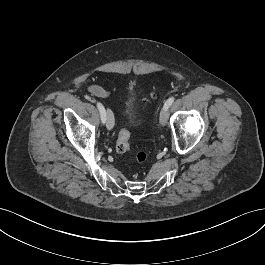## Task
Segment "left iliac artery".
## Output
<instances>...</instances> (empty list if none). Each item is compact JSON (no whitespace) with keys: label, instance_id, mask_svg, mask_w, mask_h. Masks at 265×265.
<instances>
[{"label":"left iliac artery","instance_id":"left-iliac-artery-1","mask_svg":"<svg viewBox=\"0 0 265 265\" xmlns=\"http://www.w3.org/2000/svg\"><path fill=\"white\" fill-rule=\"evenodd\" d=\"M174 100H175L174 97H170L169 99H167V101L164 104V107L168 109L172 105V103L174 102Z\"/></svg>","mask_w":265,"mask_h":265}]
</instances>
